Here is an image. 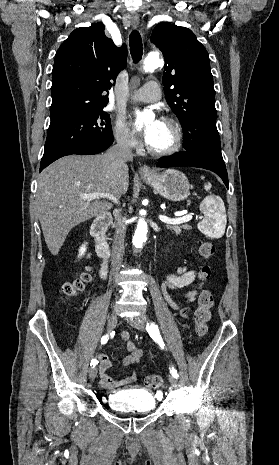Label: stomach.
I'll return each instance as SVG.
<instances>
[{
    "mask_svg": "<svg viewBox=\"0 0 279 465\" xmlns=\"http://www.w3.org/2000/svg\"><path fill=\"white\" fill-rule=\"evenodd\" d=\"M143 179L155 192L171 201H182L190 193V184L187 177L181 171L175 169L143 176Z\"/></svg>",
    "mask_w": 279,
    "mask_h": 465,
    "instance_id": "0dacf381",
    "label": "stomach"
}]
</instances>
